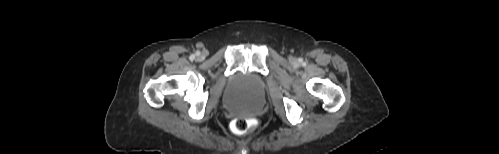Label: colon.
<instances>
[{"label": "colon", "mask_w": 499, "mask_h": 154, "mask_svg": "<svg viewBox=\"0 0 499 154\" xmlns=\"http://www.w3.org/2000/svg\"><path fill=\"white\" fill-rule=\"evenodd\" d=\"M252 126L253 123L243 117L235 118L232 121V128L237 133H244L247 130H249Z\"/></svg>", "instance_id": "1"}]
</instances>
